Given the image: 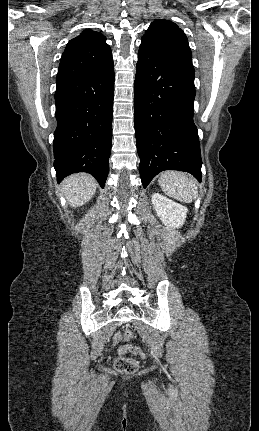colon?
I'll list each match as a JSON object with an SVG mask.
<instances>
[{"instance_id":"colon-1","label":"colon","mask_w":259,"mask_h":431,"mask_svg":"<svg viewBox=\"0 0 259 431\" xmlns=\"http://www.w3.org/2000/svg\"><path fill=\"white\" fill-rule=\"evenodd\" d=\"M133 336L134 333L130 328H124L115 335L114 341L116 343L128 342L133 338ZM128 352L144 357V353L139 347L124 346L120 348L119 356L115 359L114 366L116 370L121 373L133 374L138 370L139 364L137 360L125 356Z\"/></svg>"}]
</instances>
